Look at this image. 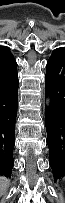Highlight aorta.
<instances>
[{
    "label": "aorta",
    "mask_w": 65,
    "mask_h": 203,
    "mask_svg": "<svg viewBox=\"0 0 65 203\" xmlns=\"http://www.w3.org/2000/svg\"><path fill=\"white\" fill-rule=\"evenodd\" d=\"M47 101H48V104L52 102V94H48Z\"/></svg>",
    "instance_id": "762f6f07"
}]
</instances>
